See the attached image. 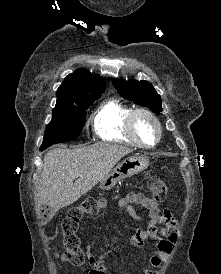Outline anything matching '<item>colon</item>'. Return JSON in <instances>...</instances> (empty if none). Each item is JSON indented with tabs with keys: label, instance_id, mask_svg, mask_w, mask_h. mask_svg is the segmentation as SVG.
<instances>
[{
	"label": "colon",
	"instance_id": "5ec220e1",
	"mask_svg": "<svg viewBox=\"0 0 221 274\" xmlns=\"http://www.w3.org/2000/svg\"><path fill=\"white\" fill-rule=\"evenodd\" d=\"M146 183L152 198L156 202H162L167 195L165 182L156 175H147ZM105 205L103 198L90 197L85 199L81 205L69 210L61 223L63 233L64 251L61 258L72 266H80L86 260V253L81 248L80 239L77 235L79 223L83 216L95 214Z\"/></svg>",
	"mask_w": 221,
	"mask_h": 274
}]
</instances>
